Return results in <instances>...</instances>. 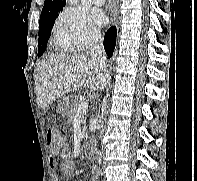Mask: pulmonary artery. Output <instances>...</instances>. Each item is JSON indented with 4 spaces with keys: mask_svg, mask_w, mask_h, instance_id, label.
Masks as SVG:
<instances>
[{
    "mask_svg": "<svg viewBox=\"0 0 197 181\" xmlns=\"http://www.w3.org/2000/svg\"><path fill=\"white\" fill-rule=\"evenodd\" d=\"M92 2L96 5H103L105 3V0H92Z\"/></svg>",
    "mask_w": 197,
    "mask_h": 181,
    "instance_id": "1",
    "label": "pulmonary artery"
}]
</instances>
